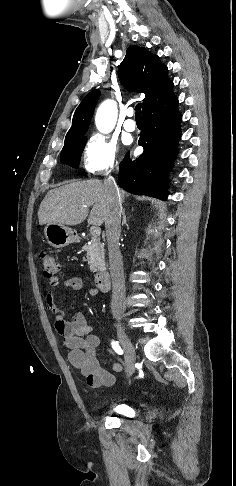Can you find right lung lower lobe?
Returning a JSON list of instances; mask_svg holds the SVG:
<instances>
[{"label":"right lung lower lobe","instance_id":"obj_1","mask_svg":"<svg viewBox=\"0 0 236 486\" xmlns=\"http://www.w3.org/2000/svg\"><path fill=\"white\" fill-rule=\"evenodd\" d=\"M174 93L142 110L144 126L139 145L144 152L132 161L126 155L119 167V186L126 191L166 200L167 173L177 155L181 114Z\"/></svg>","mask_w":236,"mask_h":486}]
</instances>
